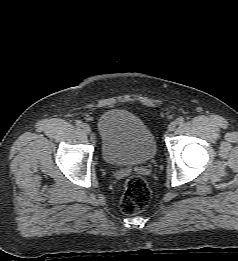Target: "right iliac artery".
<instances>
[{
    "instance_id": "1",
    "label": "right iliac artery",
    "mask_w": 238,
    "mask_h": 261,
    "mask_svg": "<svg viewBox=\"0 0 238 261\" xmlns=\"http://www.w3.org/2000/svg\"><path fill=\"white\" fill-rule=\"evenodd\" d=\"M76 126H77L78 128L82 127V126H83V122L80 121V120H77V121H76Z\"/></svg>"
}]
</instances>
